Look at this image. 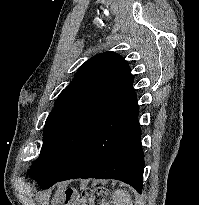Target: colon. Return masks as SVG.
Masks as SVG:
<instances>
[{
  "label": "colon",
  "instance_id": "colon-1",
  "mask_svg": "<svg viewBox=\"0 0 199 205\" xmlns=\"http://www.w3.org/2000/svg\"><path fill=\"white\" fill-rule=\"evenodd\" d=\"M76 191L74 188L69 187L64 191L63 204L70 205L72 199L74 198ZM106 192L103 188L97 189H87L82 197L84 205H92L97 203L98 205H103L106 201Z\"/></svg>",
  "mask_w": 199,
  "mask_h": 205
}]
</instances>
